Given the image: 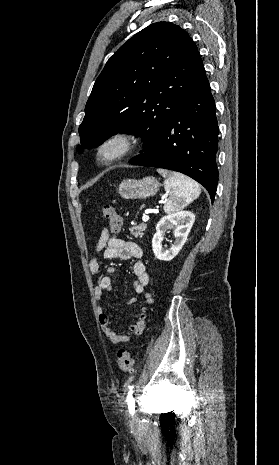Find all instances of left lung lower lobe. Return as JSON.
Instances as JSON below:
<instances>
[{"label": "left lung lower lobe", "mask_w": 279, "mask_h": 465, "mask_svg": "<svg viewBox=\"0 0 279 465\" xmlns=\"http://www.w3.org/2000/svg\"><path fill=\"white\" fill-rule=\"evenodd\" d=\"M217 148L215 102L201 64L180 110L164 133L130 163L181 172L202 184L213 201L218 181Z\"/></svg>", "instance_id": "1"}]
</instances>
